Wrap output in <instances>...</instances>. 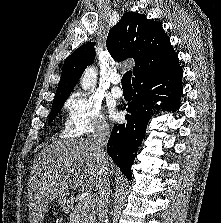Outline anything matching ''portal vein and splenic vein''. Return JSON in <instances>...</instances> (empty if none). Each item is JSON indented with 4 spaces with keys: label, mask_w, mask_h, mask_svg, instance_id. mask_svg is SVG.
Segmentation results:
<instances>
[{
    "label": "portal vein and splenic vein",
    "mask_w": 221,
    "mask_h": 223,
    "mask_svg": "<svg viewBox=\"0 0 221 223\" xmlns=\"http://www.w3.org/2000/svg\"><path fill=\"white\" fill-rule=\"evenodd\" d=\"M84 200H85V203H86L87 205H92V204H94V198H93V196H91V195H88Z\"/></svg>",
    "instance_id": "portal-vein-and-splenic-vein-1"
}]
</instances>
